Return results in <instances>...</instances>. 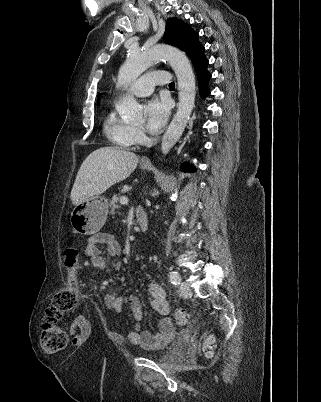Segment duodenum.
Instances as JSON below:
<instances>
[{"label": "duodenum", "instance_id": "410a0bca", "mask_svg": "<svg viewBox=\"0 0 321 402\" xmlns=\"http://www.w3.org/2000/svg\"><path fill=\"white\" fill-rule=\"evenodd\" d=\"M135 219L140 232L144 233L148 229V216L146 212L143 209L136 210Z\"/></svg>", "mask_w": 321, "mask_h": 402}]
</instances>
